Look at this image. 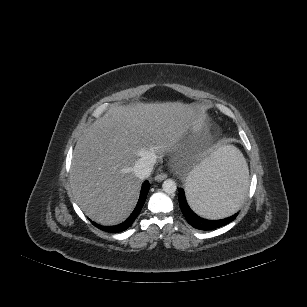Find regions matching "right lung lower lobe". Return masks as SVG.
Wrapping results in <instances>:
<instances>
[{"mask_svg":"<svg viewBox=\"0 0 307 307\" xmlns=\"http://www.w3.org/2000/svg\"><path fill=\"white\" fill-rule=\"evenodd\" d=\"M150 188V184L148 181L144 182V184L142 185V189H141V194H140V198L139 201L137 203L136 208L134 209V211L132 212V214L121 224L119 225H115V226H101L98 225L97 223H94L93 221L92 224L96 227H98L99 229L103 230V231H107V232H122L126 229H128L132 223L135 221L136 217L138 216V214L140 213L144 202L146 200V196L147 193L149 191Z\"/></svg>","mask_w":307,"mask_h":307,"instance_id":"right-lung-lower-lobe-1","label":"right lung lower lobe"}]
</instances>
